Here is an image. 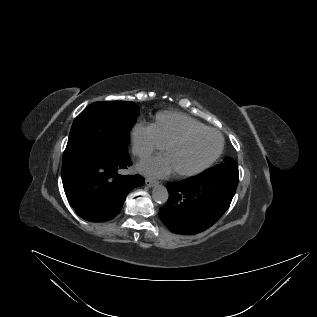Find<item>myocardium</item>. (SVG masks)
<instances>
[{"label":"myocardium","instance_id":"obj_1","mask_svg":"<svg viewBox=\"0 0 317 317\" xmlns=\"http://www.w3.org/2000/svg\"><path fill=\"white\" fill-rule=\"evenodd\" d=\"M207 131L216 133L219 136L220 143H219L217 150L214 152V154L211 157H209L206 161H204L203 163H201L200 165H198L195 168L185 170V171H173L175 176H177V177L194 176L196 174L203 172L208 167H210L218 159V157L221 155V153L223 151L224 137L217 129L212 128V127L205 126V127H200V128H189V129H186L185 131L181 132L177 136L171 138L163 145V152L166 153L171 147L182 143L188 137H190L194 134H197V133H202V132H207Z\"/></svg>","mask_w":317,"mask_h":317}]
</instances>
